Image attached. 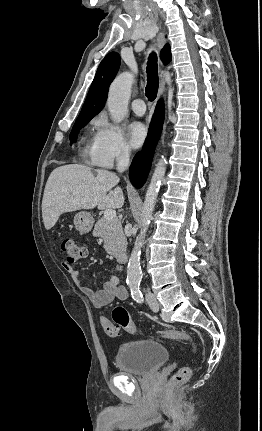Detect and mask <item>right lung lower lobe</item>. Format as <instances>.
<instances>
[{
    "label": "right lung lower lobe",
    "mask_w": 262,
    "mask_h": 431,
    "mask_svg": "<svg viewBox=\"0 0 262 431\" xmlns=\"http://www.w3.org/2000/svg\"><path fill=\"white\" fill-rule=\"evenodd\" d=\"M164 120V105L159 101L152 118L149 133L142 152L136 154L130 166L129 178L135 187H141L145 183L151 167L153 150L160 135Z\"/></svg>",
    "instance_id": "obj_1"
}]
</instances>
